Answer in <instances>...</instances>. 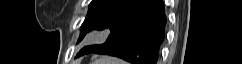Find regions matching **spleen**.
Instances as JSON below:
<instances>
[{
  "label": "spleen",
  "mask_w": 242,
  "mask_h": 64,
  "mask_svg": "<svg viewBox=\"0 0 242 64\" xmlns=\"http://www.w3.org/2000/svg\"><path fill=\"white\" fill-rule=\"evenodd\" d=\"M93 64H127L125 61L113 57H102L97 59Z\"/></svg>",
  "instance_id": "3e777b00"
}]
</instances>
